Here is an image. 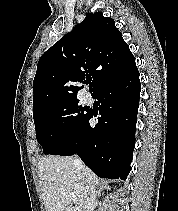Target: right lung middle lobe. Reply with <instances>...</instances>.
Segmentation results:
<instances>
[{
  "label": "right lung middle lobe",
  "instance_id": "right-lung-middle-lobe-1",
  "mask_svg": "<svg viewBox=\"0 0 178 211\" xmlns=\"http://www.w3.org/2000/svg\"><path fill=\"white\" fill-rule=\"evenodd\" d=\"M88 114L78 99L58 102L33 114L37 141L44 154H51L72 139L84 125Z\"/></svg>",
  "mask_w": 178,
  "mask_h": 211
}]
</instances>
